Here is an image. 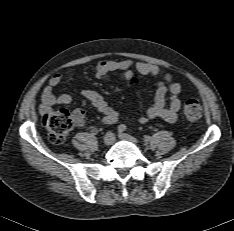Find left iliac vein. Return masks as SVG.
I'll list each match as a JSON object with an SVG mask.
<instances>
[{
  "mask_svg": "<svg viewBox=\"0 0 234 231\" xmlns=\"http://www.w3.org/2000/svg\"><path fill=\"white\" fill-rule=\"evenodd\" d=\"M118 136H119L120 139L130 141V142H132L134 144L138 143V141L135 138H133L132 136H130V135L126 134V133L119 132Z\"/></svg>",
  "mask_w": 234,
  "mask_h": 231,
  "instance_id": "left-iliac-vein-1",
  "label": "left iliac vein"
}]
</instances>
